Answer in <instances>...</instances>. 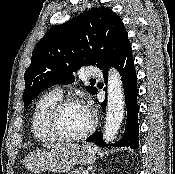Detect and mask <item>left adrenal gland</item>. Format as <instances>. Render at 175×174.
<instances>
[{
	"label": "left adrenal gland",
	"instance_id": "1",
	"mask_svg": "<svg viewBox=\"0 0 175 174\" xmlns=\"http://www.w3.org/2000/svg\"><path fill=\"white\" fill-rule=\"evenodd\" d=\"M95 170H96V169L94 168L93 171H92V174H95Z\"/></svg>",
	"mask_w": 175,
	"mask_h": 174
}]
</instances>
